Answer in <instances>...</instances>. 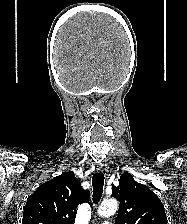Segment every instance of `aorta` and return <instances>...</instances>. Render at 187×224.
<instances>
[{"mask_svg":"<svg viewBox=\"0 0 187 224\" xmlns=\"http://www.w3.org/2000/svg\"><path fill=\"white\" fill-rule=\"evenodd\" d=\"M118 202L115 199L104 201L98 208V214L101 217H110L116 213Z\"/></svg>","mask_w":187,"mask_h":224,"instance_id":"aorta-1","label":"aorta"}]
</instances>
